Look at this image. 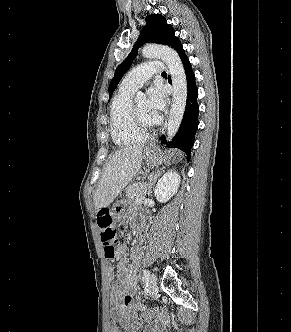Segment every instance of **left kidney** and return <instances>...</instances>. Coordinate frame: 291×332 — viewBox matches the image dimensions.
Wrapping results in <instances>:
<instances>
[{"label": "left kidney", "instance_id": "left-kidney-1", "mask_svg": "<svg viewBox=\"0 0 291 332\" xmlns=\"http://www.w3.org/2000/svg\"><path fill=\"white\" fill-rule=\"evenodd\" d=\"M180 184V176L176 171H168L158 181L155 190V198L161 202H167L176 194Z\"/></svg>", "mask_w": 291, "mask_h": 332}]
</instances>
